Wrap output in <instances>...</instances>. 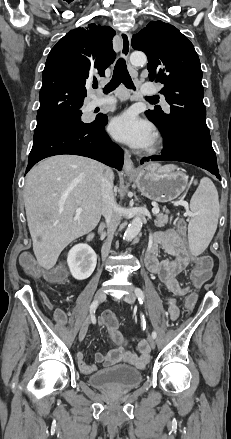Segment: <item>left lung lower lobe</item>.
Here are the masks:
<instances>
[{"label": "left lung lower lobe", "mask_w": 231, "mask_h": 439, "mask_svg": "<svg viewBox=\"0 0 231 439\" xmlns=\"http://www.w3.org/2000/svg\"><path fill=\"white\" fill-rule=\"evenodd\" d=\"M162 136L164 149L161 154L144 157L141 164L147 161H181L206 169L221 180L209 133L188 126H175Z\"/></svg>", "instance_id": "1"}]
</instances>
